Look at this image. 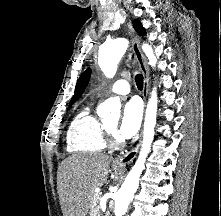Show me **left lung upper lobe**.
I'll list each match as a JSON object with an SVG mask.
<instances>
[{
	"mask_svg": "<svg viewBox=\"0 0 221 216\" xmlns=\"http://www.w3.org/2000/svg\"><path fill=\"white\" fill-rule=\"evenodd\" d=\"M134 24V28L135 30L141 34L144 35L145 34V29L142 27L141 23L139 22V20H135L133 22ZM90 69L86 70L79 78L77 84H76V88H75V92L74 95L69 103V108L71 107V105L80 98V96L82 95L86 85L89 82L90 79Z\"/></svg>",
	"mask_w": 221,
	"mask_h": 216,
	"instance_id": "left-lung-upper-lobe-1",
	"label": "left lung upper lobe"
}]
</instances>
